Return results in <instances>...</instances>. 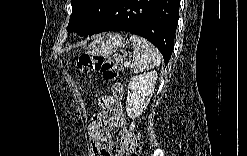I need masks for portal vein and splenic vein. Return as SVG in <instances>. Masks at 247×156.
<instances>
[{
    "label": "portal vein and splenic vein",
    "instance_id": "obj_1",
    "mask_svg": "<svg viewBox=\"0 0 247 156\" xmlns=\"http://www.w3.org/2000/svg\"><path fill=\"white\" fill-rule=\"evenodd\" d=\"M124 65H125V67H128L129 62L126 61V62L124 63Z\"/></svg>",
    "mask_w": 247,
    "mask_h": 156
}]
</instances>
